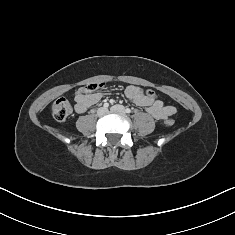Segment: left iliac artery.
<instances>
[{
    "label": "left iliac artery",
    "instance_id": "44dca946",
    "mask_svg": "<svg viewBox=\"0 0 235 235\" xmlns=\"http://www.w3.org/2000/svg\"><path fill=\"white\" fill-rule=\"evenodd\" d=\"M125 112H126V113H131V109L126 108V109H125Z\"/></svg>",
    "mask_w": 235,
    "mask_h": 235
}]
</instances>
